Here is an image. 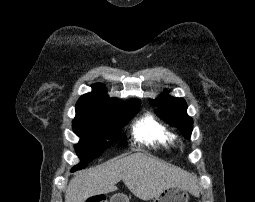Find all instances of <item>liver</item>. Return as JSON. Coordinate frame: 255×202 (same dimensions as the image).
Returning a JSON list of instances; mask_svg holds the SVG:
<instances>
[{
  "label": "liver",
  "mask_w": 255,
  "mask_h": 202,
  "mask_svg": "<svg viewBox=\"0 0 255 202\" xmlns=\"http://www.w3.org/2000/svg\"><path fill=\"white\" fill-rule=\"evenodd\" d=\"M121 180L142 200L153 199L170 186H180L193 193L197 188L196 179L190 173L164 161L135 153L76 175L67 186L65 202H85L89 197L116 191V184Z\"/></svg>",
  "instance_id": "6515ba94"
}]
</instances>
